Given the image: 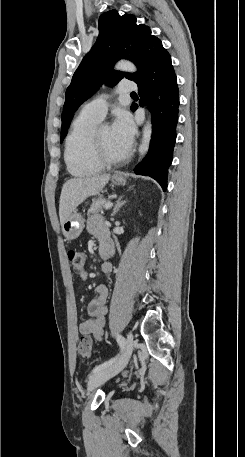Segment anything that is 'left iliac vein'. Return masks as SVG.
<instances>
[{
	"label": "left iliac vein",
	"mask_w": 245,
	"mask_h": 457,
	"mask_svg": "<svg viewBox=\"0 0 245 457\" xmlns=\"http://www.w3.org/2000/svg\"><path fill=\"white\" fill-rule=\"evenodd\" d=\"M132 349L133 336L129 334L125 344L124 351L116 359V361L110 366L103 368L90 376L88 382V391H93L94 389L108 381L110 378L116 376L119 372H121L129 362Z\"/></svg>",
	"instance_id": "obj_1"
}]
</instances>
